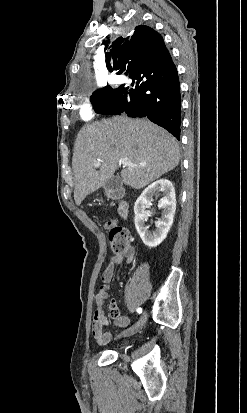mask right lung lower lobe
Listing matches in <instances>:
<instances>
[{"mask_svg": "<svg viewBox=\"0 0 247 413\" xmlns=\"http://www.w3.org/2000/svg\"><path fill=\"white\" fill-rule=\"evenodd\" d=\"M129 77L133 79L132 83H136L135 87L120 86V91L104 114L120 115L125 112L129 117H147L179 140L180 84L172 59L152 73Z\"/></svg>", "mask_w": 247, "mask_h": 413, "instance_id": "1", "label": "right lung lower lobe"}]
</instances>
